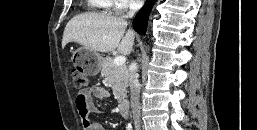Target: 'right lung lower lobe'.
<instances>
[{"mask_svg":"<svg viewBox=\"0 0 257 130\" xmlns=\"http://www.w3.org/2000/svg\"><path fill=\"white\" fill-rule=\"evenodd\" d=\"M155 0L148 1L147 4L138 12L133 20V27L139 34H145L148 16Z\"/></svg>","mask_w":257,"mask_h":130,"instance_id":"right-lung-lower-lobe-1","label":"right lung lower lobe"}]
</instances>
